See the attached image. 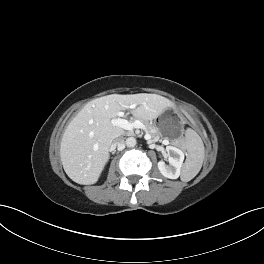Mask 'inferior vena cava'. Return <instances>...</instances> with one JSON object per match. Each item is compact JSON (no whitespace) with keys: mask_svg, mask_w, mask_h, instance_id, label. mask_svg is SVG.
<instances>
[{"mask_svg":"<svg viewBox=\"0 0 264 264\" xmlns=\"http://www.w3.org/2000/svg\"><path fill=\"white\" fill-rule=\"evenodd\" d=\"M114 146L117 147L118 150H123L125 148V140L123 136H118L114 140Z\"/></svg>","mask_w":264,"mask_h":264,"instance_id":"602c4592","label":"inferior vena cava"}]
</instances>
